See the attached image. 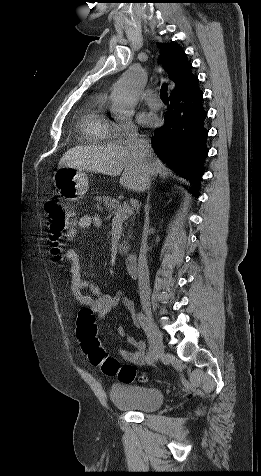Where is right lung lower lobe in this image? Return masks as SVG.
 I'll return each instance as SVG.
<instances>
[{
    "instance_id": "obj_1",
    "label": "right lung lower lobe",
    "mask_w": 261,
    "mask_h": 476,
    "mask_svg": "<svg viewBox=\"0 0 261 476\" xmlns=\"http://www.w3.org/2000/svg\"><path fill=\"white\" fill-rule=\"evenodd\" d=\"M206 118L203 92L198 86V78L194 77L183 89L170 94L165 124L156 129L151 138L156 154L190 181L194 193H198L208 155Z\"/></svg>"
}]
</instances>
